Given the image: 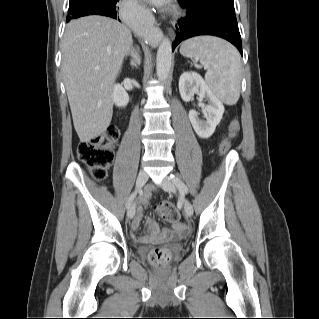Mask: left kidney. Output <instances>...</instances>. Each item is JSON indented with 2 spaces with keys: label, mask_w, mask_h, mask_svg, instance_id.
<instances>
[{
  "label": "left kidney",
  "mask_w": 319,
  "mask_h": 319,
  "mask_svg": "<svg viewBox=\"0 0 319 319\" xmlns=\"http://www.w3.org/2000/svg\"><path fill=\"white\" fill-rule=\"evenodd\" d=\"M179 92L181 98L186 102L190 101L194 94H198L200 99H208L209 104L202 107L206 114V121L201 120L195 110L189 111V119L199 137L209 138L222 119L224 105L196 72L182 73L179 79Z\"/></svg>",
  "instance_id": "obj_1"
}]
</instances>
